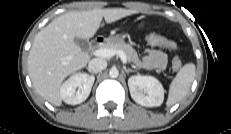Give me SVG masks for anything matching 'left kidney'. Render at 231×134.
Listing matches in <instances>:
<instances>
[{
	"label": "left kidney",
	"mask_w": 231,
	"mask_h": 134,
	"mask_svg": "<svg viewBox=\"0 0 231 134\" xmlns=\"http://www.w3.org/2000/svg\"><path fill=\"white\" fill-rule=\"evenodd\" d=\"M132 99L147 107L160 106L164 101V88L155 77L134 75L128 79Z\"/></svg>",
	"instance_id": "left-kidney-1"
}]
</instances>
